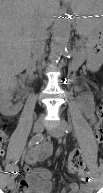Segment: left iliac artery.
Segmentation results:
<instances>
[{
  "mask_svg": "<svg viewBox=\"0 0 103 193\" xmlns=\"http://www.w3.org/2000/svg\"><path fill=\"white\" fill-rule=\"evenodd\" d=\"M63 127L66 133H69L71 131V126L66 121H63ZM87 178H88V183L92 184L94 181V178L90 172L87 173Z\"/></svg>",
  "mask_w": 103,
  "mask_h": 193,
  "instance_id": "obj_1",
  "label": "left iliac artery"
}]
</instances>
